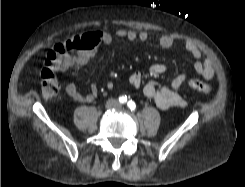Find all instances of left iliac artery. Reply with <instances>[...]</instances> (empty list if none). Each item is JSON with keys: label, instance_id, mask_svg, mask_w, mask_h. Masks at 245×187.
<instances>
[{"label": "left iliac artery", "instance_id": "44dca946", "mask_svg": "<svg viewBox=\"0 0 245 187\" xmlns=\"http://www.w3.org/2000/svg\"><path fill=\"white\" fill-rule=\"evenodd\" d=\"M127 106L129 107V109L132 111V110H135L136 108V104L134 101L130 100L128 103H127Z\"/></svg>", "mask_w": 245, "mask_h": 187}]
</instances>
